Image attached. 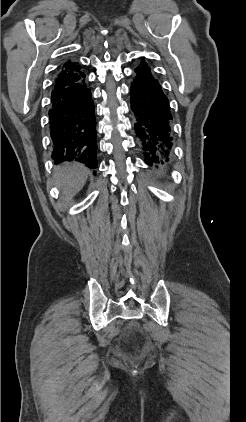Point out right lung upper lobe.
Segmentation results:
<instances>
[{
    "label": "right lung upper lobe",
    "mask_w": 246,
    "mask_h": 422,
    "mask_svg": "<svg viewBox=\"0 0 246 422\" xmlns=\"http://www.w3.org/2000/svg\"><path fill=\"white\" fill-rule=\"evenodd\" d=\"M84 73L81 71V66L70 60L64 62L60 66L58 77L56 78L54 89L64 87L81 78Z\"/></svg>",
    "instance_id": "obj_1"
}]
</instances>
